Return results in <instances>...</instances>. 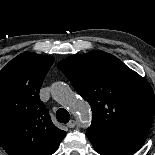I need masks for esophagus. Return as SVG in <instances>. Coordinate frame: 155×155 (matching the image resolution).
Wrapping results in <instances>:
<instances>
[{"label":"esophagus","instance_id":"obj_1","mask_svg":"<svg viewBox=\"0 0 155 155\" xmlns=\"http://www.w3.org/2000/svg\"><path fill=\"white\" fill-rule=\"evenodd\" d=\"M77 122L75 120H70L68 123H67V126L69 128H74L76 126Z\"/></svg>","mask_w":155,"mask_h":155}]
</instances>
